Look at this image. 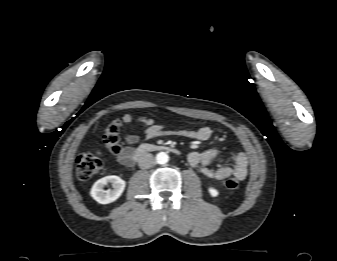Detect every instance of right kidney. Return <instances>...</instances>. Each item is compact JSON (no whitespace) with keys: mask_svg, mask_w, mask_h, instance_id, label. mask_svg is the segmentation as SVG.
<instances>
[{"mask_svg":"<svg viewBox=\"0 0 337 261\" xmlns=\"http://www.w3.org/2000/svg\"><path fill=\"white\" fill-rule=\"evenodd\" d=\"M111 183L113 189L104 190L103 187ZM126 182L120 177L110 175L97 180L91 188L90 194L98 203L108 204L117 200L123 193Z\"/></svg>","mask_w":337,"mask_h":261,"instance_id":"ca27d5eb","label":"right kidney"}]
</instances>
